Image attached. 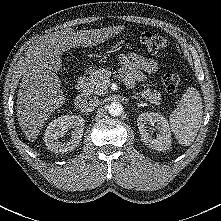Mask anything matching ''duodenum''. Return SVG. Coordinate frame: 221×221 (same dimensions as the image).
Wrapping results in <instances>:
<instances>
[{
  "label": "duodenum",
  "mask_w": 221,
  "mask_h": 221,
  "mask_svg": "<svg viewBox=\"0 0 221 221\" xmlns=\"http://www.w3.org/2000/svg\"><path fill=\"white\" fill-rule=\"evenodd\" d=\"M89 80V74L87 72L82 73L76 83V88L78 91V95L75 99V108L82 109L87 101V95L85 93V89L87 86V82Z\"/></svg>",
  "instance_id": "410a0bca"
}]
</instances>
